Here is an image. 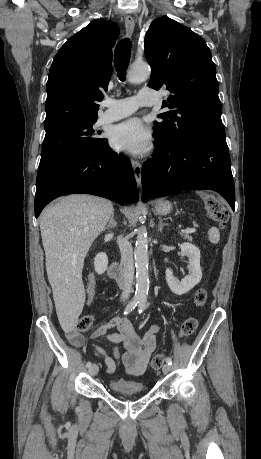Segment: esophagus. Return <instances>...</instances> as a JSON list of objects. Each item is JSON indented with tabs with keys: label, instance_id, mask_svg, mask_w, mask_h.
<instances>
[{
	"label": "esophagus",
	"instance_id": "obj_1",
	"mask_svg": "<svg viewBox=\"0 0 261 459\" xmlns=\"http://www.w3.org/2000/svg\"><path fill=\"white\" fill-rule=\"evenodd\" d=\"M134 27H135L134 19L132 17H126L125 18V31H126L127 37L132 36ZM131 163H132L133 172H134V176H135L137 185L141 186L142 166L140 162L137 160H132Z\"/></svg>",
	"mask_w": 261,
	"mask_h": 459
}]
</instances>
